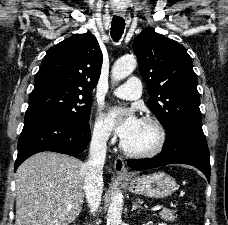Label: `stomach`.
Here are the masks:
<instances>
[{
	"label": "stomach",
	"instance_id": "0dacf381",
	"mask_svg": "<svg viewBox=\"0 0 228 225\" xmlns=\"http://www.w3.org/2000/svg\"><path fill=\"white\" fill-rule=\"evenodd\" d=\"M129 191L135 195H144L152 199H164L177 191V183L173 177L166 173H152L143 177L129 179Z\"/></svg>",
	"mask_w": 228,
	"mask_h": 225
}]
</instances>
